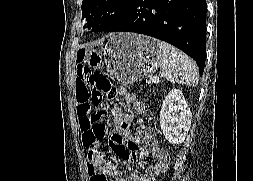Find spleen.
Instances as JSON below:
<instances>
[{
	"mask_svg": "<svg viewBox=\"0 0 253 181\" xmlns=\"http://www.w3.org/2000/svg\"><path fill=\"white\" fill-rule=\"evenodd\" d=\"M161 51V75L173 83L195 87L199 80L197 64L172 45L159 41Z\"/></svg>",
	"mask_w": 253,
	"mask_h": 181,
	"instance_id": "3e777b00",
	"label": "spleen"
}]
</instances>
